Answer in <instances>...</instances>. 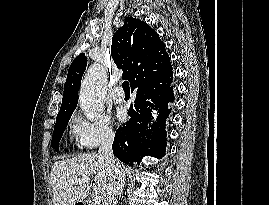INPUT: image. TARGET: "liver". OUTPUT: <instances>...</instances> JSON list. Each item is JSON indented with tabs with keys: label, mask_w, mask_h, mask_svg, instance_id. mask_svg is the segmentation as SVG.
Returning a JSON list of instances; mask_svg holds the SVG:
<instances>
[{
	"label": "liver",
	"mask_w": 269,
	"mask_h": 205,
	"mask_svg": "<svg viewBox=\"0 0 269 205\" xmlns=\"http://www.w3.org/2000/svg\"><path fill=\"white\" fill-rule=\"evenodd\" d=\"M92 176H95L93 186L89 182L71 184L73 180ZM111 178V171L106 161L97 153L80 154L70 159L58 160L51 168L53 205H75L87 198L91 188L105 197Z\"/></svg>",
	"instance_id": "1"
}]
</instances>
